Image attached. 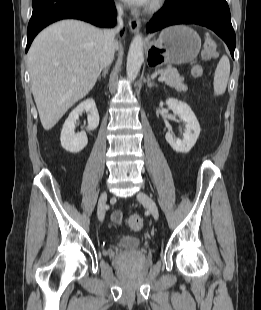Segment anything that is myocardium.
I'll use <instances>...</instances> for the list:
<instances>
[{
  "label": "myocardium",
  "mask_w": 261,
  "mask_h": 310,
  "mask_svg": "<svg viewBox=\"0 0 261 310\" xmlns=\"http://www.w3.org/2000/svg\"><path fill=\"white\" fill-rule=\"evenodd\" d=\"M166 0H151L149 7H148V12L154 13L160 10Z\"/></svg>",
  "instance_id": "1"
}]
</instances>
